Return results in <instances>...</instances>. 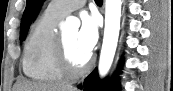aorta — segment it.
<instances>
[{"label":"aorta","instance_id":"aorta-1","mask_svg":"<svg viewBox=\"0 0 173 91\" xmlns=\"http://www.w3.org/2000/svg\"><path fill=\"white\" fill-rule=\"evenodd\" d=\"M121 5L122 0H106L105 2V29L98 67L99 75L101 77L106 76L108 73L117 48L120 30ZM67 24L71 27L78 26L79 21L70 18L67 20Z\"/></svg>","mask_w":173,"mask_h":91}]
</instances>
